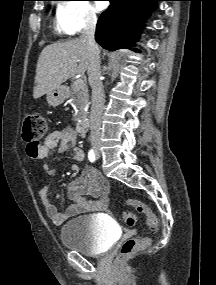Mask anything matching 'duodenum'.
Masks as SVG:
<instances>
[{
	"label": "duodenum",
	"instance_id": "410a0bca",
	"mask_svg": "<svg viewBox=\"0 0 216 285\" xmlns=\"http://www.w3.org/2000/svg\"><path fill=\"white\" fill-rule=\"evenodd\" d=\"M78 130L81 133H85L89 129V120L86 117H82L78 122Z\"/></svg>",
	"mask_w": 216,
	"mask_h": 285
}]
</instances>
